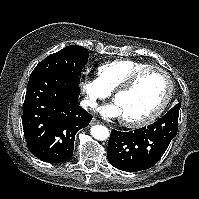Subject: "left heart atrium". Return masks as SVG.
<instances>
[{"label":"left heart atrium","instance_id":"left-heart-atrium-1","mask_svg":"<svg viewBox=\"0 0 199 199\" xmlns=\"http://www.w3.org/2000/svg\"><path fill=\"white\" fill-rule=\"evenodd\" d=\"M100 113L107 118L121 117L120 110L116 103L108 104L99 109Z\"/></svg>","mask_w":199,"mask_h":199}]
</instances>
